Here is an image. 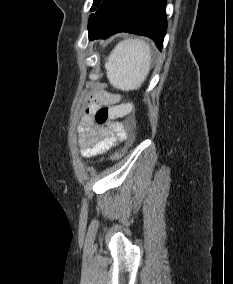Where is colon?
<instances>
[{
	"mask_svg": "<svg viewBox=\"0 0 233 284\" xmlns=\"http://www.w3.org/2000/svg\"><path fill=\"white\" fill-rule=\"evenodd\" d=\"M134 110V103L128 102L116 106H102L94 113V122L98 126H104L110 119L125 117L132 113ZM127 139V146L133 142V134H129Z\"/></svg>",
	"mask_w": 233,
	"mask_h": 284,
	"instance_id": "obj_1",
	"label": "colon"
}]
</instances>
